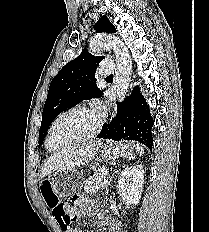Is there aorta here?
Wrapping results in <instances>:
<instances>
[{
	"label": "aorta",
	"mask_w": 209,
	"mask_h": 232,
	"mask_svg": "<svg viewBox=\"0 0 209 232\" xmlns=\"http://www.w3.org/2000/svg\"><path fill=\"white\" fill-rule=\"evenodd\" d=\"M91 52H100L103 49H113L116 55L117 70L114 77V90L119 102H122L131 81L132 63L128 49L117 37L100 34L90 40Z\"/></svg>",
	"instance_id": "aorta-1"
}]
</instances>
